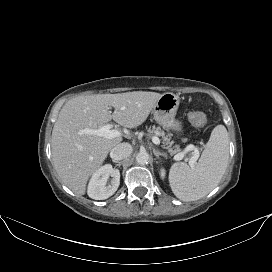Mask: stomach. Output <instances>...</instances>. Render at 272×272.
<instances>
[{
	"mask_svg": "<svg viewBox=\"0 0 272 272\" xmlns=\"http://www.w3.org/2000/svg\"><path fill=\"white\" fill-rule=\"evenodd\" d=\"M179 97L174 93H164L152 109L155 121L166 130L183 131V124L176 119Z\"/></svg>",
	"mask_w": 272,
	"mask_h": 272,
	"instance_id": "obj_1",
	"label": "stomach"
}]
</instances>
